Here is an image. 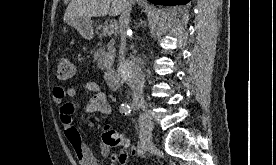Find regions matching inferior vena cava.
I'll return each instance as SVG.
<instances>
[{
    "label": "inferior vena cava",
    "mask_w": 276,
    "mask_h": 165,
    "mask_svg": "<svg viewBox=\"0 0 276 165\" xmlns=\"http://www.w3.org/2000/svg\"><path fill=\"white\" fill-rule=\"evenodd\" d=\"M122 10L119 18V33L121 37L120 52L124 56L126 52V37L129 25V17L131 11V4L133 0H123ZM124 59V57H123ZM127 73L130 74L132 97L134 101L143 102V87L144 78L141 73V68L138 63H129L124 61Z\"/></svg>",
    "instance_id": "obj_1"
}]
</instances>
